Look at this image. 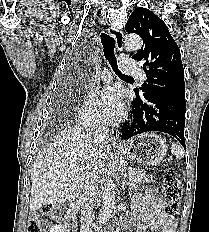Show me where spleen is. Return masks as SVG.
<instances>
[{
  "mask_svg": "<svg viewBox=\"0 0 209 232\" xmlns=\"http://www.w3.org/2000/svg\"><path fill=\"white\" fill-rule=\"evenodd\" d=\"M171 152L178 159H182L184 157V151H183V149L180 147V145H178L176 143L172 144V146H171Z\"/></svg>",
  "mask_w": 209,
  "mask_h": 232,
  "instance_id": "obj_1",
  "label": "spleen"
}]
</instances>
